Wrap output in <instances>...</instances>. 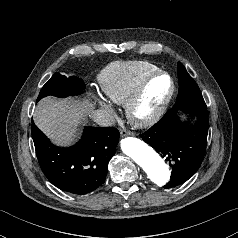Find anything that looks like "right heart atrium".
Segmentation results:
<instances>
[{
    "label": "right heart atrium",
    "instance_id": "d8ad5b80",
    "mask_svg": "<svg viewBox=\"0 0 238 238\" xmlns=\"http://www.w3.org/2000/svg\"><path fill=\"white\" fill-rule=\"evenodd\" d=\"M93 103L102 111L107 113L109 116L115 115V110L113 105L103 96L92 95Z\"/></svg>",
    "mask_w": 238,
    "mask_h": 238
}]
</instances>
